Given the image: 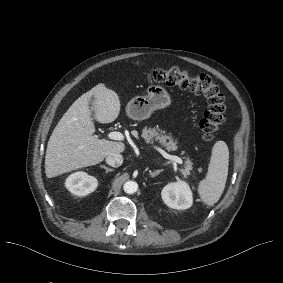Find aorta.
Masks as SVG:
<instances>
[{
  "mask_svg": "<svg viewBox=\"0 0 283 283\" xmlns=\"http://www.w3.org/2000/svg\"><path fill=\"white\" fill-rule=\"evenodd\" d=\"M123 189L128 194H133L138 190V184L135 181H127L123 185Z\"/></svg>",
  "mask_w": 283,
  "mask_h": 283,
  "instance_id": "762f6f07",
  "label": "aorta"
}]
</instances>
